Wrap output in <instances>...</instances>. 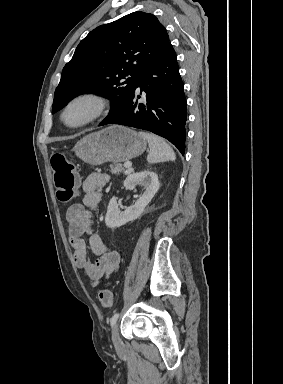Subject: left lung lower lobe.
Returning <instances> with one entry per match:
<instances>
[{"instance_id": "obj_1", "label": "left lung lower lobe", "mask_w": 283, "mask_h": 384, "mask_svg": "<svg viewBox=\"0 0 283 384\" xmlns=\"http://www.w3.org/2000/svg\"><path fill=\"white\" fill-rule=\"evenodd\" d=\"M145 103H138L137 88ZM186 97L175 51L169 42L161 55L141 74L126 108L105 124H120L151 131L166 138L184 155Z\"/></svg>"}]
</instances>
